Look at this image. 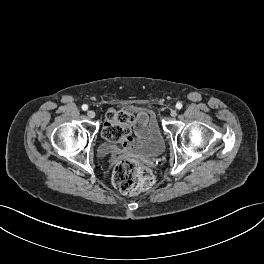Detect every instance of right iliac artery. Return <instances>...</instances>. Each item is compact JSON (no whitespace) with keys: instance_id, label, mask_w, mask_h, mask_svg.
I'll return each instance as SVG.
<instances>
[{"instance_id":"obj_1","label":"right iliac artery","mask_w":264,"mask_h":264,"mask_svg":"<svg viewBox=\"0 0 264 264\" xmlns=\"http://www.w3.org/2000/svg\"><path fill=\"white\" fill-rule=\"evenodd\" d=\"M82 109L86 111L88 109V106L86 104L82 105Z\"/></svg>"}]
</instances>
